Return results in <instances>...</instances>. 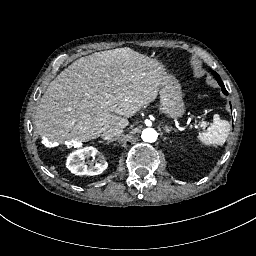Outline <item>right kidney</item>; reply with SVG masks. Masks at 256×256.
Segmentation results:
<instances>
[{"mask_svg":"<svg viewBox=\"0 0 256 256\" xmlns=\"http://www.w3.org/2000/svg\"><path fill=\"white\" fill-rule=\"evenodd\" d=\"M96 155L100 157L99 163L93 165L88 162V166L85 160ZM66 167L75 175L93 176L101 174L108 167V163L96 148L89 146L70 153L67 157Z\"/></svg>","mask_w":256,"mask_h":256,"instance_id":"right-kidney-1","label":"right kidney"}]
</instances>
